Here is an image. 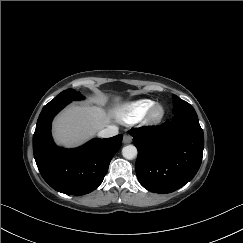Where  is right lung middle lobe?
Returning <instances> with one entry per match:
<instances>
[{
	"instance_id": "obj_1",
	"label": "right lung middle lobe",
	"mask_w": 243,
	"mask_h": 243,
	"mask_svg": "<svg viewBox=\"0 0 243 243\" xmlns=\"http://www.w3.org/2000/svg\"><path fill=\"white\" fill-rule=\"evenodd\" d=\"M83 98L84 97L80 93L76 92L74 89H67V90L61 92L58 96H56L49 103L65 102V103L68 104L73 100H80V99H83Z\"/></svg>"
}]
</instances>
